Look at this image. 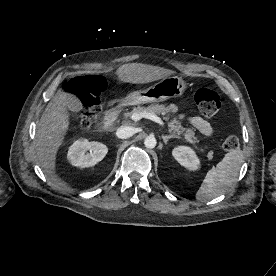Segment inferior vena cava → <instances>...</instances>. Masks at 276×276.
Wrapping results in <instances>:
<instances>
[{
    "mask_svg": "<svg viewBox=\"0 0 276 276\" xmlns=\"http://www.w3.org/2000/svg\"><path fill=\"white\" fill-rule=\"evenodd\" d=\"M135 133V129L131 126H120L116 131V136L120 139H127Z\"/></svg>",
    "mask_w": 276,
    "mask_h": 276,
    "instance_id": "obj_1",
    "label": "inferior vena cava"
}]
</instances>
